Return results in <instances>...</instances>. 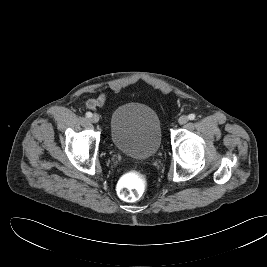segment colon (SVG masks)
<instances>
[{"mask_svg": "<svg viewBox=\"0 0 267 267\" xmlns=\"http://www.w3.org/2000/svg\"><path fill=\"white\" fill-rule=\"evenodd\" d=\"M145 188V176L141 172L131 171L119 181L118 194L123 200L136 201L142 197Z\"/></svg>", "mask_w": 267, "mask_h": 267, "instance_id": "5ec220e1", "label": "colon"}]
</instances>
